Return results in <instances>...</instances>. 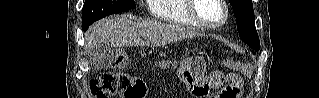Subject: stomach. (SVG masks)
<instances>
[{
  "instance_id": "obj_1",
  "label": "stomach",
  "mask_w": 319,
  "mask_h": 98,
  "mask_svg": "<svg viewBox=\"0 0 319 98\" xmlns=\"http://www.w3.org/2000/svg\"><path fill=\"white\" fill-rule=\"evenodd\" d=\"M204 74V66L201 63H192L180 70V79L185 83L189 93L194 98H202L204 96V82L202 76Z\"/></svg>"
}]
</instances>
